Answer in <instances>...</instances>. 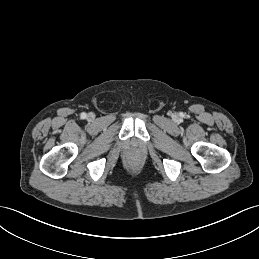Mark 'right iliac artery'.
<instances>
[{
	"instance_id": "82829eb1",
	"label": "right iliac artery",
	"mask_w": 259,
	"mask_h": 259,
	"mask_svg": "<svg viewBox=\"0 0 259 259\" xmlns=\"http://www.w3.org/2000/svg\"><path fill=\"white\" fill-rule=\"evenodd\" d=\"M81 119H85L86 118V116H87V114L85 113V112H83V113H81Z\"/></svg>"
}]
</instances>
